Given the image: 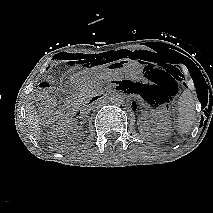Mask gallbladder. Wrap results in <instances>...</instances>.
I'll return each mask as SVG.
<instances>
[{"instance_id": "1", "label": "gallbladder", "mask_w": 213, "mask_h": 213, "mask_svg": "<svg viewBox=\"0 0 213 213\" xmlns=\"http://www.w3.org/2000/svg\"><path fill=\"white\" fill-rule=\"evenodd\" d=\"M49 82H50L51 84H54L53 79H49Z\"/></svg>"}]
</instances>
